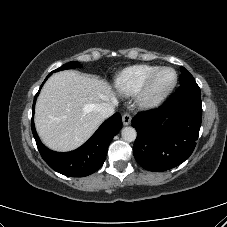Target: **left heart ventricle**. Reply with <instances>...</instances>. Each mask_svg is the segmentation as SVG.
<instances>
[{
    "mask_svg": "<svg viewBox=\"0 0 227 227\" xmlns=\"http://www.w3.org/2000/svg\"><path fill=\"white\" fill-rule=\"evenodd\" d=\"M174 81V73L172 71H163L156 80V89L161 90L168 87Z\"/></svg>",
    "mask_w": 227,
    "mask_h": 227,
    "instance_id": "b2bd125f",
    "label": "left heart ventricle"
}]
</instances>
